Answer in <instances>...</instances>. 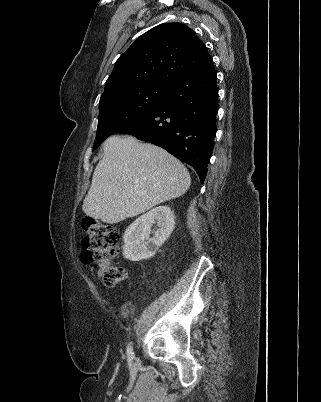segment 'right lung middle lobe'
<instances>
[{"mask_svg": "<svg viewBox=\"0 0 321 402\" xmlns=\"http://www.w3.org/2000/svg\"><path fill=\"white\" fill-rule=\"evenodd\" d=\"M167 86L147 85L113 93L99 102V121L93 151L110 135L157 108Z\"/></svg>", "mask_w": 321, "mask_h": 402, "instance_id": "right-lung-middle-lobe-1", "label": "right lung middle lobe"}]
</instances>
